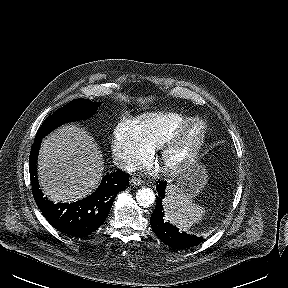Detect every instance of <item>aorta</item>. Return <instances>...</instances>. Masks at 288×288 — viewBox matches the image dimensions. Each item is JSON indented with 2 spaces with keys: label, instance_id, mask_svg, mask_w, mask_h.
Returning <instances> with one entry per match:
<instances>
[{
  "label": "aorta",
  "instance_id": "aorta-1",
  "mask_svg": "<svg viewBox=\"0 0 288 288\" xmlns=\"http://www.w3.org/2000/svg\"><path fill=\"white\" fill-rule=\"evenodd\" d=\"M155 193L150 188L139 189L136 193L137 203L146 208L155 202Z\"/></svg>",
  "mask_w": 288,
  "mask_h": 288
}]
</instances>
